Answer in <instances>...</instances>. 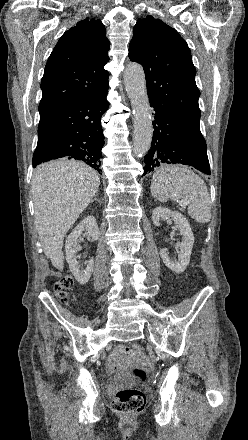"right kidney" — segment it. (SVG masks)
Here are the masks:
<instances>
[{"label": "right kidney", "mask_w": 248, "mask_h": 440, "mask_svg": "<svg viewBox=\"0 0 248 440\" xmlns=\"http://www.w3.org/2000/svg\"><path fill=\"white\" fill-rule=\"evenodd\" d=\"M84 231L88 233L92 240H97L99 238L100 232L94 216H88L82 220L70 235H68L65 243L66 260L69 264L71 273L80 285H84L89 281L94 267V260L91 258L87 262L86 269H80V265L76 258L78 238Z\"/></svg>", "instance_id": "1"}]
</instances>
